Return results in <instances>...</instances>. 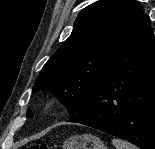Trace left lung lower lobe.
<instances>
[{
    "label": "left lung lower lobe",
    "instance_id": "0a47b994",
    "mask_svg": "<svg viewBox=\"0 0 155 149\" xmlns=\"http://www.w3.org/2000/svg\"><path fill=\"white\" fill-rule=\"evenodd\" d=\"M68 122L155 149V38L146 14Z\"/></svg>",
    "mask_w": 155,
    "mask_h": 149
}]
</instances>
